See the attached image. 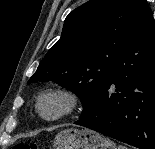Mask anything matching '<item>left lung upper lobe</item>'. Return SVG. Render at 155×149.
I'll return each mask as SVG.
<instances>
[{
	"label": "left lung upper lobe",
	"instance_id": "obj_1",
	"mask_svg": "<svg viewBox=\"0 0 155 149\" xmlns=\"http://www.w3.org/2000/svg\"><path fill=\"white\" fill-rule=\"evenodd\" d=\"M151 10L146 0H90L66 17L61 38L28 84L53 81L73 91L86 108L107 80L116 56Z\"/></svg>",
	"mask_w": 155,
	"mask_h": 149
}]
</instances>
